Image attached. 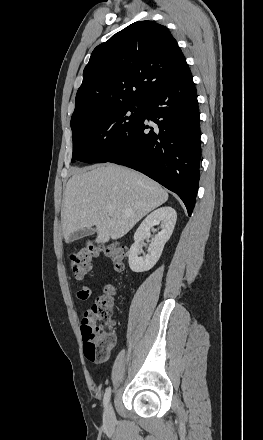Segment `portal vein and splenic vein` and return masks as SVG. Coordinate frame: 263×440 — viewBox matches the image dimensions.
<instances>
[{"label": "portal vein and splenic vein", "mask_w": 263, "mask_h": 440, "mask_svg": "<svg viewBox=\"0 0 263 440\" xmlns=\"http://www.w3.org/2000/svg\"><path fill=\"white\" fill-rule=\"evenodd\" d=\"M112 210H114V207L112 206L108 207V211H112Z\"/></svg>", "instance_id": "18ae733b"}]
</instances>
